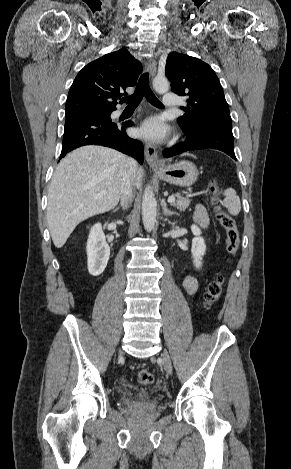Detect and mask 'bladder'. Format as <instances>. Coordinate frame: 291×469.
<instances>
[{
  "label": "bladder",
  "instance_id": "1",
  "mask_svg": "<svg viewBox=\"0 0 291 469\" xmlns=\"http://www.w3.org/2000/svg\"><path fill=\"white\" fill-rule=\"evenodd\" d=\"M136 398L140 401H152L154 400V395L150 390L142 389L137 393Z\"/></svg>",
  "mask_w": 291,
  "mask_h": 469
}]
</instances>
